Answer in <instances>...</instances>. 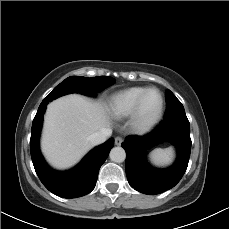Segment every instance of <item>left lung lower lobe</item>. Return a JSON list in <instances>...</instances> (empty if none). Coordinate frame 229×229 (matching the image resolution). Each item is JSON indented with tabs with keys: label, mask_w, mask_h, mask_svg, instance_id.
Here are the masks:
<instances>
[{
	"label": "left lung lower lobe",
	"mask_w": 229,
	"mask_h": 229,
	"mask_svg": "<svg viewBox=\"0 0 229 229\" xmlns=\"http://www.w3.org/2000/svg\"><path fill=\"white\" fill-rule=\"evenodd\" d=\"M163 141L172 142L177 149V160L167 169H156L148 164L144 151ZM126 151V175L129 184L144 194H158L174 187L184 175L190 157V124L186 115L164 119L151 133L128 136L122 143Z\"/></svg>",
	"instance_id": "0a47b994"
}]
</instances>
